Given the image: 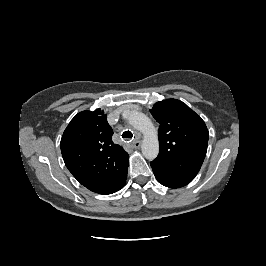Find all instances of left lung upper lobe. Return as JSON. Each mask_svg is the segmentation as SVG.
<instances>
[{"mask_svg": "<svg viewBox=\"0 0 266 266\" xmlns=\"http://www.w3.org/2000/svg\"><path fill=\"white\" fill-rule=\"evenodd\" d=\"M159 127L160 152L150 164L157 180L189 184L204 161L209 138L204 121L185 103L168 99L150 110Z\"/></svg>", "mask_w": 266, "mask_h": 266, "instance_id": "obj_1", "label": "left lung upper lobe"}]
</instances>
